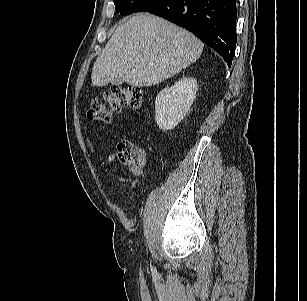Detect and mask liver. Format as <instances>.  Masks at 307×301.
I'll list each match as a JSON object with an SVG mask.
<instances>
[{"instance_id": "1", "label": "liver", "mask_w": 307, "mask_h": 301, "mask_svg": "<svg viewBox=\"0 0 307 301\" xmlns=\"http://www.w3.org/2000/svg\"><path fill=\"white\" fill-rule=\"evenodd\" d=\"M203 43L191 32L139 13L115 30L96 59L91 80L97 87L118 77L130 86H152L194 63Z\"/></svg>"}]
</instances>
